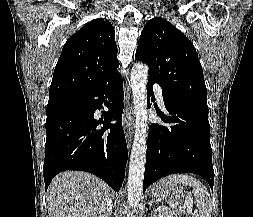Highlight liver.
<instances>
[{
    "mask_svg": "<svg viewBox=\"0 0 253 217\" xmlns=\"http://www.w3.org/2000/svg\"><path fill=\"white\" fill-rule=\"evenodd\" d=\"M47 193L49 217H108L112 212L110 187L90 173L62 172Z\"/></svg>",
    "mask_w": 253,
    "mask_h": 217,
    "instance_id": "liver-1",
    "label": "liver"
}]
</instances>
